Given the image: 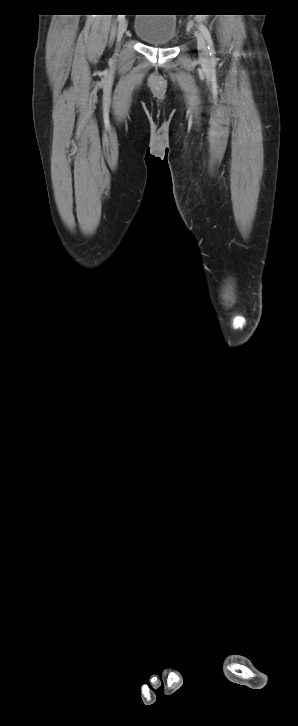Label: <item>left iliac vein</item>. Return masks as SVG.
Here are the masks:
<instances>
[{
    "instance_id": "1",
    "label": "left iliac vein",
    "mask_w": 298,
    "mask_h": 726,
    "mask_svg": "<svg viewBox=\"0 0 298 726\" xmlns=\"http://www.w3.org/2000/svg\"><path fill=\"white\" fill-rule=\"evenodd\" d=\"M196 39H197V48H198V52H199V59L203 63H207L208 60H209V53H208V49H207V44H206L205 38L202 35V33H200V32L197 31L196 32Z\"/></svg>"
}]
</instances>
